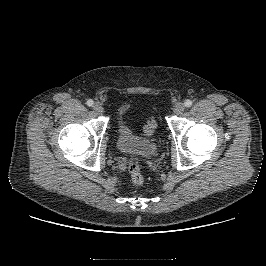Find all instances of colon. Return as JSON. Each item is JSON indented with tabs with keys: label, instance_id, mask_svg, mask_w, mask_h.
I'll return each mask as SVG.
<instances>
[{
	"label": "colon",
	"instance_id": "5ec220e1",
	"mask_svg": "<svg viewBox=\"0 0 266 266\" xmlns=\"http://www.w3.org/2000/svg\"><path fill=\"white\" fill-rule=\"evenodd\" d=\"M156 128V121L152 118L144 127V134L151 135ZM128 169L133 184L140 186L144 183V177L140 170V160L138 157L133 156L128 161Z\"/></svg>",
	"mask_w": 266,
	"mask_h": 266
}]
</instances>
